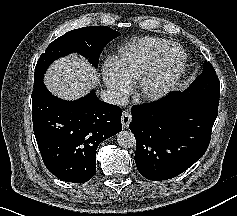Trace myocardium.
<instances>
[{"mask_svg":"<svg viewBox=\"0 0 237 216\" xmlns=\"http://www.w3.org/2000/svg\"><path fill=\"white\" fill-rule=\"evenodd\" d=\"M175 49L179 51L181 56V63L176 76L171 81L163 83L153 90L147 89V81L153 74L163 54L170 53ZM186 59L187 54L185 49L175 41H173L171 44H166L164 47H161L157 51L154 62L140 74L133 89V98L140 99L142 101V105L145 106L150 102H155L161 99L163 96L173 91L181 81L186 65Z\"/></svg>","mask_w":237,"mask_h":216,"instance_id":"f54148a6","label":"myocardium"}]
</instances>
